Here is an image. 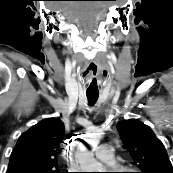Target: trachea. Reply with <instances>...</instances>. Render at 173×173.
<instances>
[{"label": "trachea", "mask_w": 173, "mask_h": 173, "mask_svg": "<svg viewBox=\"0 0 173 173\" xmlns=\"http://www.w3.org/2000/svg\"><path fill=\"white\" fill-rule=\"evenodd\" d=\"M89 105H94L96 103V101L98 100L99 94H95V93H87L86 94Z\"/></svg>", "instance_id": "3493384b"}]
</instances>
